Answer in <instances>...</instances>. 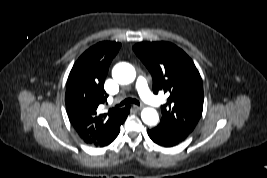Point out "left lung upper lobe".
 Masks as SVG:
<instances>
[{
    "instance_id": "1",
    "label": "left lung upper lobe",
    "mask_w": 267,
    "mask_h": 178,
    "mask_svg": "<svg viewBox=\"0 0 267 178\" xmlns=\"http://www.w3.org/2000/svg\"><path fill=\"white\" fill-rule=\"evenodd\" d=\"M153 78V92L169 95L160 125L186 139L203 111V85L191 58L169 42H141L133 47Z\"/></svg>"
}]
</instances>
